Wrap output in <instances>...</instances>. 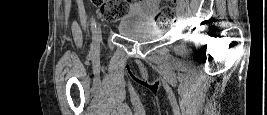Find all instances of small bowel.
I'll list each match as a JSON object with an SVG mask.
<instances>
[{"mask_svg":"<svg viewBox=\"0 0 267 115\" xmlns=\"http://www.w3.org/2000/svg\"><path fill=\"white\" fill-rule=\"evenodd\" d=\"M160 0H145L131 5V14L147 20H153Z\"/></svg>","mask_w":267,"mask_h":115,"instance_id":"obj_1","label":"small bowel"}]
</instances>
